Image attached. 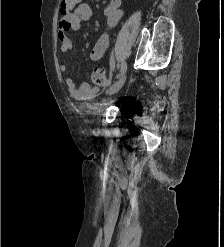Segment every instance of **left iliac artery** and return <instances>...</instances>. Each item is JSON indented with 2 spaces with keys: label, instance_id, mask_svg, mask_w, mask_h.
Masks as SVG:
<instances>
[{
  "label": "left iliac artery",
  "instance_id": "1",
  "mask_svg": "<svg viewBox=\"0 0 224 247\" xmlns=\"http://www.w3.org/2000/svg\"><path fill=\"white\" fill-rule=\"evenodd\" d=\"M126 70H127V64H126V62H122L121 63V71H120V74H119V78L126 72Z\"/></svg>",
  "mask_w": 224,
  "mask_h": 247
}]
</instances>
